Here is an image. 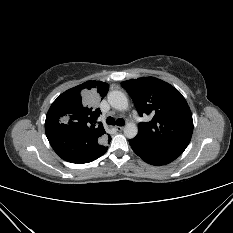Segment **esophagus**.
Segmentation results:
<instances>
[{
    "mask_svg": "<svg viewBox=\"0 0 233 233\" xmlns=\"http://www.w3.org/2000/svg\"><path fill=\"white\" fill-rule=\"evenodd\" d=\"M123 126H115V129L117 130V131H122L123 130Z\"/></svg>",
    "mask_w": 233,
    "mask_h": 233,
    "instance_id": "34e87169",
    "label": "esophagus"
}]
</instances>
